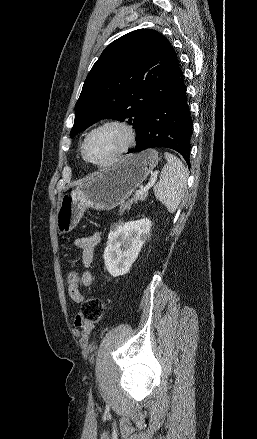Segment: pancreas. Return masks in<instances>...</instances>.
Here are the masks:
<instances>
[{
	"label": "pancreas",
	"instance_id": "obj_1",
	"mask_svg": "<svg viewBox=\"0 0 257 439\" xmlns=\"http://www.w3.org/2000/svg\"><path fill=\"white\" fill-rule=\"evenodd\" d=\"M146 198H147V193H144V194L139 195V196H136V195L133 196V198H131L127 202L121 204L120 209H119V215H122L126 210H129L133 203H137L138 201H144V200H146Z\"/></svg>",
	"mask_w": 257,
	"mask_h": 439
}]
</instances>
